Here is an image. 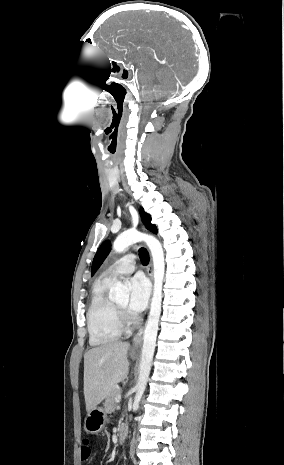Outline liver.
Wrapping results in <instances>:
<instances>
[{
    "label": "liver",
    "mask_w": 284,
    "mask_h": 465,
    "mask_svg": "<svg viewBox=\"0 0 284 465\" xmlns=\"http://www.w3.org/2000/svg\"><path fill=\"white\" fill-rule=\"evenodd\" d=\"M129 343H105L84 355V397L86 411L96 409L129 373Z\"/></svg>",
    "instance_id": "obj_1"
}]
</instances>
